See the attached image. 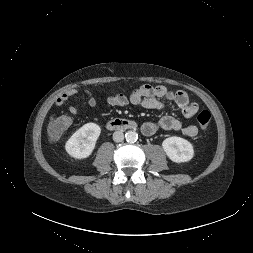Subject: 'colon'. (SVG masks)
<instances>
[{"instance_id":"obj_1","label":"colon","mask_w":253,"mask_h":253,"mask_svg":"<svg viewBox=\"0 0 253 253\" xmlns=\"http://www.w3.org/2000/svg\"><path fill=\"white\" fill-rule=\"evenodd\" d=\"M197 121L200 127L206 131L211 121V113L208 110H202L197 115ZM71 118L67 115L54 117L48 127V135L52 141L58 140L69 128Z\"/></svg>"}]
</instances>
